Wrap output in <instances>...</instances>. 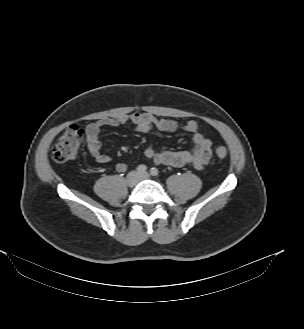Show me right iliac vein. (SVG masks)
<instances>
[{
    "label": "right iliac vein",
    "instance_id": "right-iliac-vein-1",
    "mask_svg": "<svg viewBox=\"0 0 304 329\" xmlns=\"http://www.w3.org/2000/svg\"><path fill=\"white\" fill-rule=\"evenodd\" d=\"M138 182V175L136 172H130L126 177V183L129 187H134Z\"/></svg>",
    "mask_w": 304,
    "mask_h": 329
}]
</instances>
